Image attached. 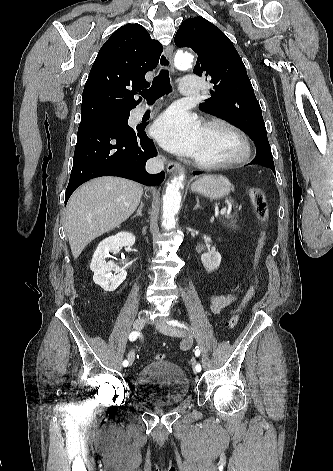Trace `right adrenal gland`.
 Segmentation results:
<instances>
[{"label": "right adrenal gland", "instance_id": "right-adrenal-gland-1", "mask_svg": "<svg viewBox=\"0 0 333 471\" xmlns=\"http://www.w3.org/2000/svg\"><path fill=\"white\" fill-rule=\"evenodd\" d=\"M143 207H144V203H143V202H140V206H139V208H138L136 214H135L132 218H135V217H137V216H141V217H142V209H143Z\"/></svg>", "mask_w": 333, "mask_h": 471}]
</instances>
